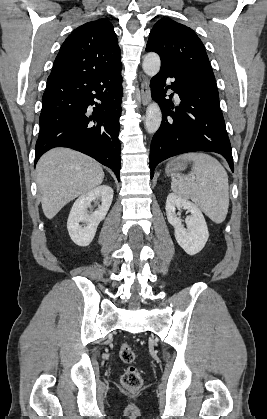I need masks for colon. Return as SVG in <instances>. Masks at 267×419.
<instances>
[{"label": "colon", "instance_id": "1", "mask_svg": "<svg viewBox=\"0 0 267 419\" xmlns=\"http://www.w3.org/2000/svg\"><path fill=\"white\" fill-rule=\"evenodd\" d=\"M118 352L122 362L132 364L135 361V353L129 344L122 343ZM121 381L123 386L130 390L139 389L143 384L141 373L134 366H129L125 369Z\"/></svg>", "mask_w": 267, "mask_h": 419}]
</instances>
